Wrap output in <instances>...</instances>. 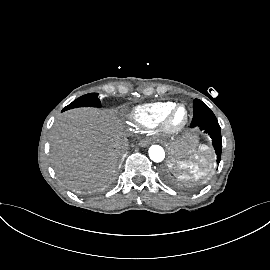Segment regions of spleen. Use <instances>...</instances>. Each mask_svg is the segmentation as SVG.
Returning a JSON list of instances; mask_svg holds the SVG:
<instances>
[{
    "mask_svg": "<svg viewBox=\"0 0 270 270\" xmlns=\"http://www.w3.org/2000/svg\"><path fill=\"white\" fill-rule=\"evenodd\" d=\"M209 156V147L202 145L195 154L194 158L190 161L184 162L187 171L196 178H202L207 174L206 167L208 166L207 157ZM203 167V168H202ZM186 178L185 176L183 179Z\"/></svg>",
    "mask_w": 270,
    "mask_h": 270,
    "instance_id": "obj_1",
    "label": "spleen"
}]
</instances>
